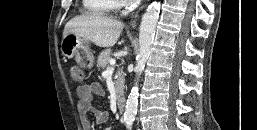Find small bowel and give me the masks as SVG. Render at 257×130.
I'll list each match as a JSON object with an SVG mask.
<instances>
[{"label": "small bowel", "instance_id": "c3829d8e", "mask_svg": "<svg viewBox=\"0 0 257 130\" xmlns=\"http://www.w3.org/2000/svg\"><path fill=\"white\" fill-rule=\"evenodd\" d=\"M78 112L80 115L81 126L83 130H92V124L87 118L88 113L94 115L97 124H104L109 119V112L104 109L96 108L93 105L94 96H103L104 90L98 83L81 85L77 89Z\"/></svg>", "mask_w": 257, "mask_h": 130}]
</instances>
